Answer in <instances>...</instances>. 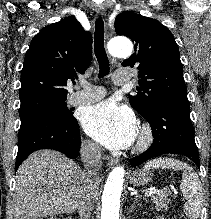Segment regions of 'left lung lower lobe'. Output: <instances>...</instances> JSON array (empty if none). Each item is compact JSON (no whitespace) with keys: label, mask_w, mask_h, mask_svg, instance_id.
<instances>
[{"label":"left lung lower lobe","mask_w":211,"mask_h":219,"mask_svg":"<svg viewBox=\"0 0 211 219\" xmlns=\"http://www.w3.org/2000/svg\"><path fill=\"white\" fill-rule=\"evenodd\" d=\"M190 105L184 99H167L158 102L144 117L152 128L154 141L151 147L134 157L132 167L166 153L182 154L199 168L200 160L194 140L193 124L189 117Z\"/></svg>","instance_id":"left-lung-lower-lobe-1"}]
</instances>
